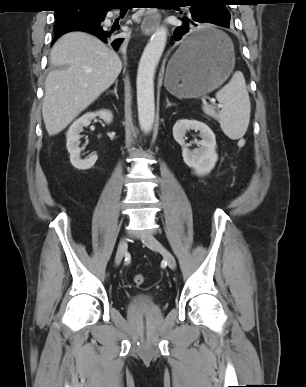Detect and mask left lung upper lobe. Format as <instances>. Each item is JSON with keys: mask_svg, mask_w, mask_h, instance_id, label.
Returning <instances> with one entry per match:
<instances>
[{"mask_svg": "<svg viewBox=\"0 0 306 387\" xmlns=\"http://www.w3.org/2000/svg\"><path fill=\"white\" fill-rule=\"evenodd\" d=\"M225 2L226 0H188L185 4L191 5V12L196 13L199 9L205 10L214 22L229 23L230 13Z\"/></svg>", "mask_w": 306, "mask_h": 387, "instance_id": "5c2ea615", "label": "left lung upper lobe"}]
</instances>
